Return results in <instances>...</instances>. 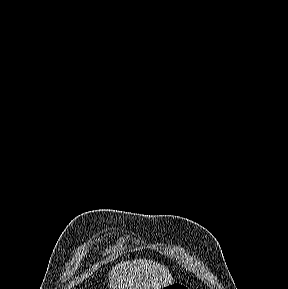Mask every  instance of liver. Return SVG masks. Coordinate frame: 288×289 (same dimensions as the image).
<instances>
[{
    "mask_svg": "<svg viewBox=\"0 0 288 289\" xmlns=\"http://www.w3.org/2000/svg\"><path fill=\"white\" fill-rule=\"evenodd\" d=\"M172 283L166 266L145 259L120 262L109 273L111 289H162Z\"/></svg>",
    "mask_w": 288,
    "mask_h": 289,
    "instance_id": "obj_1",
    "label": "liver"
}]
</instances>
